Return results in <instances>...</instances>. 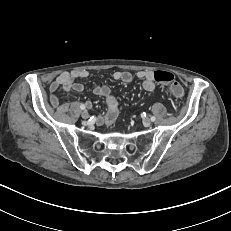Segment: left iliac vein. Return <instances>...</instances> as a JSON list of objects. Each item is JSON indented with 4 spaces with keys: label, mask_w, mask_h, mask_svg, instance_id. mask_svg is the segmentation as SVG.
<instances>
[{
    "label": "left iliac vein",
    "mask_w": 231,
    "mask_h": 231,
    "mask_svg": "<svg viewBox=\"0 0 231 231\" xmlns=\"http://www.w3.org/2000/svg\"><path fill=\"white\" fill-rule=\"evenodd\" d=\"M143 124L145 127H149L151 125V120L149 118H144Z\"/></svg>",
    "instance_id": "obj_1"
}]
</instances>
